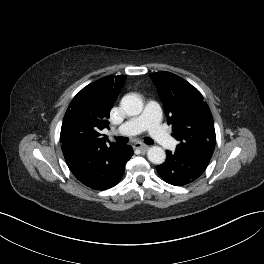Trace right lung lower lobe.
Here are the masks:
<instances>
[{
    "instance_id": "98d812e1",
    "label": "right lung lower lobe",
    "mask_w": 264,
    "mask_h": 264,
    "mask_svg": "<svg viewBox=\"0 0 264 264\" xmlns=\"http://www.w3.org/2000/svg\"><path fill=\"white\" fill-rule=\"evenodd\" d=\"M132 154L129 146L110 145L75 150L64 154V158L81 183L92 189L106 190L120 181Z\"/></svg>"
}]
</instances>
